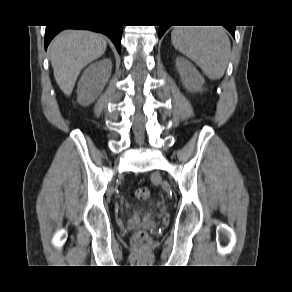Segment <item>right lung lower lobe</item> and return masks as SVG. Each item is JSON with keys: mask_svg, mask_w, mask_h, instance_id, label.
I'll list each match as a JSON object with an SVG mask.
<instances>
[{"mask_svg": "<svg viewBox=\"0 0 292 292\" xmlns=\"http://www.w3.org/2000/svg\"><path fill=\"white\" fill-rule=\"evenodd\" d=\"M65 28H79V29L81 28V29H88V30L103 33L112 40L117 51L119 53L121 52L122 26H112V25H104V24L90 25V26H60V27L46 26L45 48H47L52 38Z\"/></svg>", "mask_w": 292, "mask_h": 292, "instance_id": "obj_1", "label": "right lung lower lobe"}]
</instances>
